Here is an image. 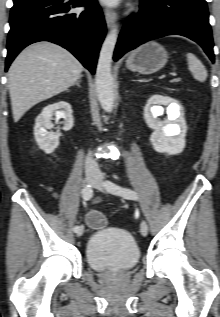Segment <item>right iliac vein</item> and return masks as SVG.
Returning <instances> with one entry per match:
<instances>
[{
  "mask_svg": "<svg viewBox=\"0 0 220 317\" xmlns=\"http://www.w3.org/2000/svg\"><path fill=\"white\" fill-rule=\"evenodd\" d=\"M96 179H97V175L96 174L90 173V174L86 175V182L88 184H90V185H93L94 182L96 181ZM83 232H84V227L81 226L80 229L76 232L77 237L82 236Z\"/></svg>",
  "mask_w": 220,
  "mask_h": 317,
  "instance_id": "obj_1",
  "label": "right iliac vein"
}]
</instances>
